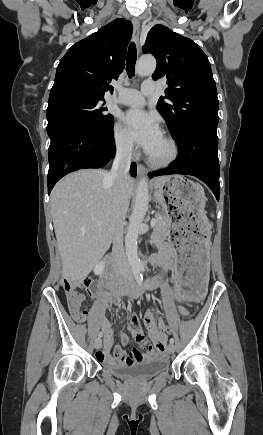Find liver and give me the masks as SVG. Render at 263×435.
I'll return each instance as SVG.
<instances>
[{"mask_svg":"<svg viewBox=\"0 0 263 435\" xmlns=\"http://www.w3.org/2000/svg\"><path fill=\"white\" fill-rule=\"evenodd\" d=\"M105 170H79L61 179L50 197L51 213L62 274L68 281L84 279L103 257L112 242L117 219L112 184ZM128 198L134 180H126ZM97 222H102L98 226Z\"/></svg>","mask_w":263,"mask_h":435,"instance_id":"liver-1","label":"liver"}]
</instances>
